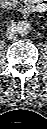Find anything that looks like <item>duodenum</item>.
I'll use <instances>...</instances> for the list:
<instances>
[{
  "instance_id": "1",
  "label": "duodenum",
  "mask_w": 47,
  "mask_h": 129,
  "mask_svg": "<svg viewBox=\"0 0 47 129\" xmlns=\"http://www.w3.org/2000/svg\"><path fill=\"white\" fill-rule=\"evenodd\" d=\"M26 12H32V11H35V7L34 6H28L26 9H25Z\"/></svg>"
}]
</instances>
